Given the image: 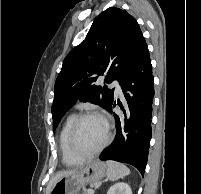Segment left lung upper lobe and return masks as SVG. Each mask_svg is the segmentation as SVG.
I'll return each instance as SVG.
<instances>
[{
	"instance_id": "obj_1",
	"label": "left lung upper lobe",
	"mask_w": 201,
	"mask_h": 194,
	"mask_svg": "<svg viewBox=\"0 0 201 194\" xmlns=\"http://www.w3.org/2000/svg\"><path fill=\"white\" fill-rule=\"evenodd\" d=\"M136 19L117 7H109L94 20L85 40L64 59L54 87L53 129L78 100L109 110L113 90L96 86L99 75L105 83L121 81L144 41Z\"/></svg>"
}]
</instances>
